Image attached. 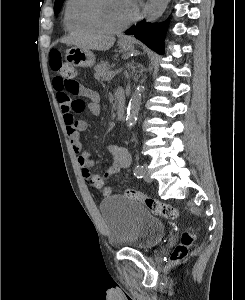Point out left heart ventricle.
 Wrapping results in <instances>:
<instances>
[{"label":"left heart ventricle","instance_id":"left-heart-ventricle-1","mask_svg":"<svg viewBox=\"0 0 245 300\" xmlns=\"http://www.w3.org/2000/svg\"><path fill=\"white\" fill-rule=\"evenodd\" d=\"M98 14L105 26L114 28L127 22L134 13L126 0H101Z\"/></svg>","mask_w":245,"mask_h":300}]
</instances>
